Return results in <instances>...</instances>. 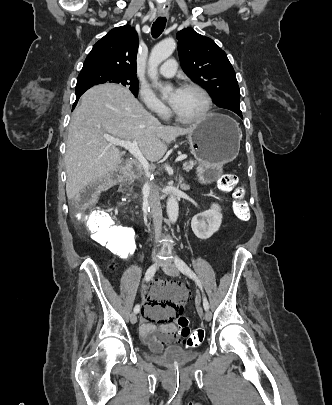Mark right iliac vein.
I'll return each mask as SVG.
<instances>
[{
  "label": "right iliac vein",
  "instance_id": "right-iliac-vein-1",
  "mask_svg": "<svg viewBox=\"0 0 332 405\" xmlns=\"http://www.w3.org/2000/svg\"><path fill=\"white\" fill-rule=\"evenodd\" d=\"M130 321H131L132 324H135V323L137 322L136 313H132V314L130 315Z\"/></svg>",
  "mask_w": 332,
  "mask_h": 405
}]
</instances>
